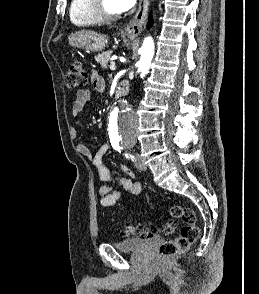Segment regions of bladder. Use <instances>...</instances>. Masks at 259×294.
Masks as SVG:
<instances>
[{
	"instance_id": "31cf9c89",
	"label": "bladder",
	"mask_w": 259,
	"mask_h": 294,
	"mask_svg": "<svg viewBox=\"0 0 259 294\" xmlns=\"http://www.w3.org/2000/svg\"><path fill=\"white\" fill-rule=\"evenodd\" d=\"M160 238L158 236L152 237H132L127 238L122 241L111 242L110 244L119 251L122 252H138L145 248L146 246L150 245L158 241Z\"/></svg>"
}]
</instances>
